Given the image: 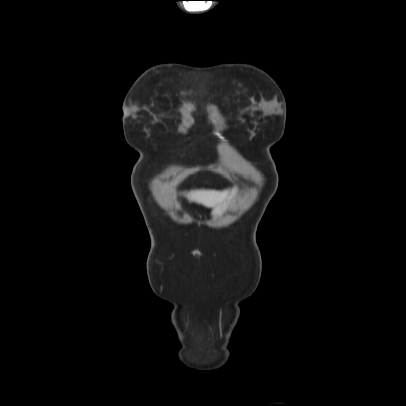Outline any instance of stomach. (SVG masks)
I'll return each mask as SVG.
<instances>
[{"label": "stomach", "instance_id": "1", "mask_svg": "<svg viewBox=\"0 0 406 406\" xmlns=\"http://www.w3.org/2000/svg\"><path fill=\"white\" fill-rule=\"evenodd\" d=\"M238 192H239L238 188L233 187L230 190L227 199L222 203L217 204L216 206L213 207L211 211V217L214 220L222 217L225 214V212L229 209V207L234 203V200L237 197Z\"/></svg>", "mask_w": 406, "mask_h": 406}]
</instances>
